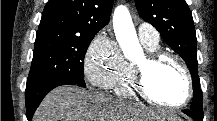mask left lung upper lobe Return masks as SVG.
Wrapping results in <instances>:
<instances>
[{"mask_svg":"<svg viewBox=\"0 0 217 121\" xmlns=\"http://www.w3.org/2000/svg\"><path fill=\"white\" fill-rule=\"evenodd\" d=\"M143 20L152 24L164 41L186 62L193 81L192 117L203 121L202 91L198 76L197 39L185 0H134Z\"/></svg>","mask_w":217,"mask_h":121,"instance_id":"5c2ea615","label":"left lung upper lobe"}]
</instances>
